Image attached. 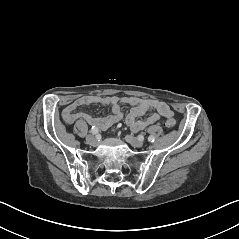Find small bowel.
Listing matches in <instances>:
<instances>
[{
  "instance_id": "1",
  "label": "small bowel",
  "mask_w": 239,
  "mask_h": 239,
  "mask_svg": "<svg viewBox=\"0 0 239 239\" xmlns=\"http://www.w3.org/2000/svg\"><path fill=\"white\" fill-rule=\"evenodd\" d=\"M121 103L131 106V110L126 116V123L134 131L142 130L146 126L158 122L163 117L169 118L173 116V111L169 105L163 101L130 96L118 97L90 95L80 97L68 104L62 113L63 120L67 124H72L77 120H84L91 126L105 130L123 120L124 113L120 108ZM90 104L110 106L112 114L103 118H98L83 112H76L78 107ZM148 112L151 113L145 119H139Z\"/></svg>"
}]
</instances>
